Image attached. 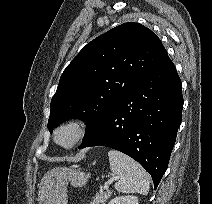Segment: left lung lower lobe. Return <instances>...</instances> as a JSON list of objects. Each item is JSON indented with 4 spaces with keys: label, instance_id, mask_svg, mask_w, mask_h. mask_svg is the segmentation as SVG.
Instances as JSON below:
<instances>
[{
    "label": "left lung lower lobe",
    "instance_id": "obj_1",
    "mask_svg": "<svg viewBox=\"0 0 212 204\" xmlns=\"http://www.w3.org/2000/svg\"><path fill=\"white\" fill-rule=\"evenodd\" d=\"M183 108L182 84L168 55L102 118L79 148L106 146L138 161L156 188L176 141Z\"/></svg>",
    "mask_w": 212,
    "mask_h": 204
}]
</instances>
